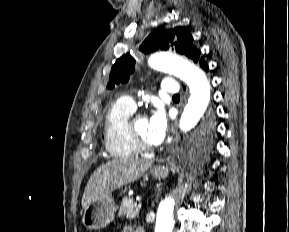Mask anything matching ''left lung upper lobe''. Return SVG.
Wrapping results in <instances>:
<instances>
[{"label": "left lung upper lobe", "instance_id": "1", "mask_svg": "<svg viewBox=\"0 0 289 232\" xmlns=\"http://www.w3.org/2000/svg\"><path fill=\"white\" fill-rule=\"evenodd\" d=\"M172 48L177 53L187 56L195 63L200 60V51L193 45V37L183 27L162 30L150 34L139 47L143 53L157 50H168ZM135 59L129 54H125L112 67L107 85L108 89L114 88L115 84L128 82L135 69Z\"/></svg>", "mask_w": 289, "mask_h": 232}]
</instances>
